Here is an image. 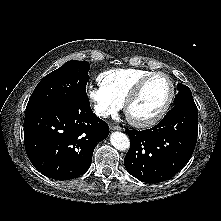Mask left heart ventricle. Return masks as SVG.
<instances>
[{
    "mask_svg": "<svg viewBox=\"0 0 221 221\" xmlns=\"http://www.w3.org/2000/svg\"><path fill=\"white\" fill-rule=\"evenodd\" d=\"M170 85L164 76L152 78L143 88L138 99L130 106V117L143 120L157 114L165 104Z\"/></svg>",
    "mask_w": 221,
    "mask_h": 221,
    "instance_id": "left-heart-ventricle-1",
    "label": "left heart ventricle"
}]
</instances>
